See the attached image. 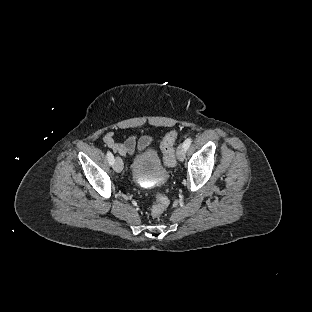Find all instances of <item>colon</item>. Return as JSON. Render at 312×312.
<instances>
[{
  "mask_svg": "<svg viewBox=\"0 0 312 312\" xmlns=\"http://www.w3.org/2000/svg\"><path fill=\"white\" fill-rule=\"evenodd\" d=\"M178 137V132L175 129L168 130L162 141L161 150L163 153V164L168 167L176 165L174 146ZM155 203L153 205V213H160L168 204V198L162 193H155Z\"/></svg>",
  "mask_w": 312,
  "mask_h": 312,
  "instance_id": "1",
  "label": "colon"
}]
</instances>
